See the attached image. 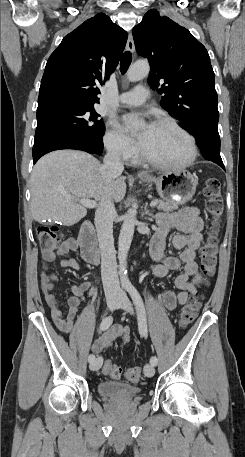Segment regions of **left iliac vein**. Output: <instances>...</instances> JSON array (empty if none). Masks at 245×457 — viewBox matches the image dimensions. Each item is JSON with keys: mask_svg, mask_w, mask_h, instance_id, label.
Listing matches in <instances>:
<instances>
[{"mask_svg": "<svg viewBox=\"0 0 245 457\" xmlns=\"http://www.w3.org/2000/svg\"><path fill=\"white\" fill-rule=\"evenodd\" d=\"M120 297H121V300L118 303V308H121V309L126 310L127 312H130L131 314H133L134 311L131 306V302H130L129 298L126 296V294L122 293ZM144 374L147 377H152L155 374L154 365L146 364L144 367Z\"/></svg>", "mask_w": 245, "mask_h": 457, "instance_id": "left-iliac-vein-1", "label": "left iliac vein"}]
</instances>
